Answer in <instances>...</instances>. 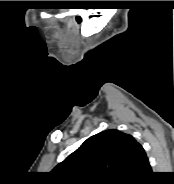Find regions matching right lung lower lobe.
<instances>
[{
	"mask_svg": "<svg viewBox=\"0 0 174 184\" xmlns=\"http://www.w3.org/2000/svg\"><path fill=\"white\" fill-rule=\"evenodd\" d=\"M151 174V166L149 162H147L132 179L124 181L121 184H146Z\"/></svg>",
	"mask_w": 174,
	"mask_h": 184,
	"instance_id": "1",
	"label": "right lung lower lobe"
}]
</instances>
